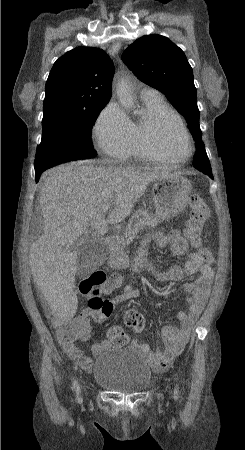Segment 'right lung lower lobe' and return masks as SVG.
<instances>
[{
  "mask_svg": "<svg viewBox=\"0 0 245 450\" xmlns=\"http://www.w3.org/2000/svg\"><path fill=\"white\" fill-rule=\"evenodd\" d=\"M43 171H44V170H38V171H35L36 182H38L39 177H40V175H41V173H42Z\"/></svg>",
  "mask_w": 245,
  "mask_h": 450,
  "instance_id": "98d812e1",
  "label": "right lung lower lobe"
}]
</instances>
